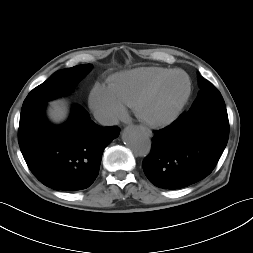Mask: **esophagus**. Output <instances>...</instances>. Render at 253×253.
<instances>
[{"mask_svg": "<svg viewBox=\"0 0 253 253\" xmlns=\"http://www.w3.org/2000/svg\"><path fill=\"white\" fill-rule=\"evenodd\" d=\"M144 131H145V133L148 135V136H152V131L150 130V129H146V128H143V127H141Z\"/></svg>", "mask_w": 253, "mask_h": 253, "instance_id": "1", "label": "esophagus"}]
</instances>
